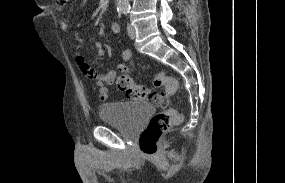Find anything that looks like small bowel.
<instances>
[{"label":"small bowel","instance_id":"small-bowel-1","mask_svg":"<svg viewBox=\"0 0 285 183\" xmlns=\"http://www.w3.org/2000/svg\"><path fill=\"white\" fill-rule=\"evenodd\" d=\"M65 1H68V0H65ZM59 10H62V7H60ZM60 28L63 31H67L68 30L67 21L61 20ZM112 29L116 33H118L120 30L117 24H113ZM95 49H96L95 58L102 57L105 54V50L101 42L95 43ZM131 56L132 54L130 50L128 49L124 50L122 53L123 62H128L131 59ZM77 59H78L79 64H84L91 69V71L94 74V78L92 80L95 82V85L98 87L99 99L102 101L106 100L109 94L108 86L114 82L115 77H116V72L114 70L98 72L94 70L88 63H86L81 56H79Z\"/></svg>","mask_w":285,"mask_h":183}]
</instances>
